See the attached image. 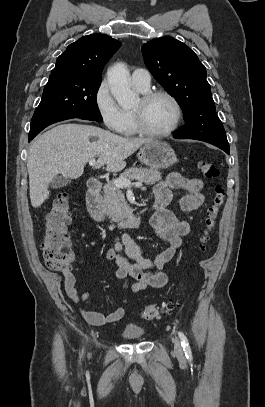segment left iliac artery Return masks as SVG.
Wrapping results in <instances>:
<instances>
[{
    "instance_id": "1",
    "label": "left iliac artery",
    "mask_w": 265,
    "mask_h": 407,
    "mask_svg": "<svg viewBox=\"0 0 265 407\" xmlns=\"http://www.w3.org/2000/svg\"><path fill=\"white\" fill-rule=\"evenodd\" d=\"M179 338L181 339V345L183 347V350L185 352V356L188 360L192 359V352L187 340V337L184 335L183 332H178Z\"/></svg>"
}]
</instances>
